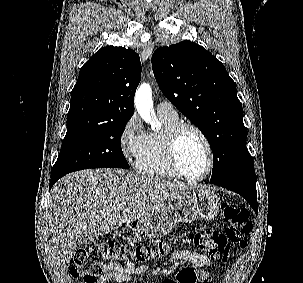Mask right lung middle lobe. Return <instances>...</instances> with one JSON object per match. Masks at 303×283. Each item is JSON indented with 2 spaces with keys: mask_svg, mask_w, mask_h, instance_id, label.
Segmentation results:
<instances>
[{
  "mask_svg": "<svg viewBox=\"0 0 303 283\" xmlns=\"http://www.w3.org/2000/svg\"><path fill=\"white\" fill-rule=\"evenodd\" d=\"M128 121L67 119V133L51 174L100 167L128 169L121 149V136Z\"/></svg>",
  "mask_w": 303,
  "mask_h": 283,
  "instance_id": "1",
  "label": "right lung middle lobe"
}]
</instances>
